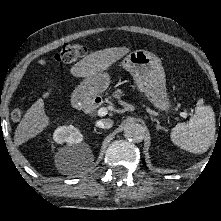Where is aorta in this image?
Listing matches in <instances>:
<instances>
[{
	"mask_svg": "<svg viewBox=\"0 0 221 221\" xmlns=\"http://www.w3.org/2000/svg\"><path fill=\"white\" fill-rule=\"evenodd\" d=\"M144 127L135 122H128L124 125V136L130 141L141 142L144 138Z\"/></svg>",
	"mask_w": 221,
	"mask_h": 221,
	"instance_id": "762f6f07",
	"label": "aorta"
}]
</instances>
